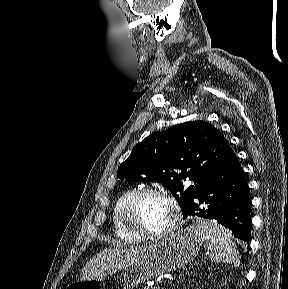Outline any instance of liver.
<instances>
[{"label":"liver","mask_w":288,"mask_h":289,"mask_svg":"<svg viewBox=\"0 0 288 289\" xmlns=\"http://www.w3.org/2000/svg\"><path fill=\"white\" fill-rule=\"evenodd\" d=\"M146 248H109L96 254L81 270V279H93L126 266L145 254Z\"/></svg>","instance_id":"obj_1"}]
</instances>
